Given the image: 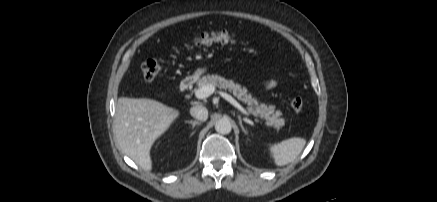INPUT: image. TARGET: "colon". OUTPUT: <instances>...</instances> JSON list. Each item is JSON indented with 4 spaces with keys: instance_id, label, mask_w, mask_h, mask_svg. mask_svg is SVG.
<instances>
[{
    "instance_id": "colon-1",
    "label": "colon",
    "mask_w": 437,
    "mask_h": 202,
    "mask_svg": "<svg viewBox=\"0 0 437 202\" xmlns=\"http://www.w3.org/2000/svg\"><path fill=\"white\" fill-rule=\"evenodd\" d=\"M236 39L235 35L229 33L225 30L213 31L202 33L201 35L195 37L191 42L186 45H209L213 43H232ZM142 75L146 81L154 80L161 70V61L158 59H148L144 61L141 65ZM291 108L300 112L304 108V100L299 97H293L290 101Z\"/></svg>"
}]
</instances>
